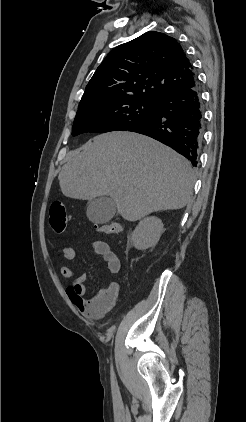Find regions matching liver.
<instances>
[{"instance_id": "6515ba94", "label": "liver", "mask_w": 246, "mask_h": 422, "mask_svg": "<svg viewBox=\"0 0 246 422\" xmlns=\"http://www.w3.org/2000/svg\"><path fill=\"white\" fill-rule=\"evenodd\" d=\"M63 195L92 200L108 195L127 221L185 207L192 196L190 162L137 133L98 135L77 150L59 174Z\"/></svg>"}]
</instances>
